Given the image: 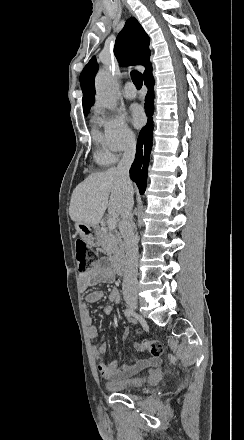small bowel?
I'll return each mask as SVG.
<instances>
[{
	"label": "small bowel",
	"instance_id": "obj_1",
	"mask_svg": "<svg viewBox=\"0 0 244 440\" xmlns=\"http://www.w3.org/2000/svg\"><path fill=\"white\" fill-rule=\"evenodd\" d=\"M114 279L112 269L108 262L101 258L98 263L89 269H87L80 277V288L82 291L88 290L90 287L101 284L108 283ZM104 296V292L101 290H92L85 295V301L87 303H96L100 301ZM121 299V294L118 288L114 287L109 292V300L115 303H119ZM107 310L110 309L109 306L106 307ZM83 320L87 329L88 336L92 339L96 338L98 335L97 325L93 321L92 315L85 308L83 310ZM130 329L125 330V336L129 335ZM134 349L139 351L141 349L139 344L134 345ZM105 352L106 348L104 344L94 347L93 355L97 362V369L102 378L110 381H126L136 375L141 370L152 366H157L158 361L156 358L148 359H138L136 357L128 358L127 360L118 363H106L105 362Z\"/></svg>",
	"mask_w": 244,
	"mask_h": 440
}]
</instances>
